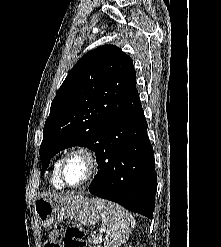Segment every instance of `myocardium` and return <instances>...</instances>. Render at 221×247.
<instances>
[{"instance_id": "myocardium-1", "label": "myocardium", "mask_w": 221, "mask_h": 247, "mask_svg": "<svg viewBox=\"0 0 221 247\" xmlns=\"http://www.w3.org/2000/svg\"><path fill=\"white\" fill-rule=\"evenodd\" d=\"M73 156H81L85 159V161L87 163V174L84 177V179L77 184H70L67 182V180L65 178L66 164H67L68 160ZM97 170H98V157H97L96 152L88 146L79 145V146H76V147L70 149L65 154L63 159L61 160L60 169H59V177H60L63 185H65L69 188H79V187L87 184L95 176V174L97 173Z\"/></svg>"}]
</instances>
